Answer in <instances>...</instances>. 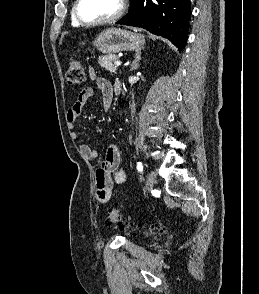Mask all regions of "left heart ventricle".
Here are the masks:
<instances>
[{
    "label": "left heart ventricle",
    "instance_id": "left-heart-ventricle-1",
    "mask_svg": "<svg viewBox=\"0 0 259 294\" xmlns=\"http://www.w3.org/2000/svg\"><path fill=\"white\" fill-rule=\"evenodd\" d=\"M120 0H82L80 14L87 21L107 18L117 12Z\"/></svg>",
    "mask_w": 259,
    "mask_h": 294
}]
</instances>
